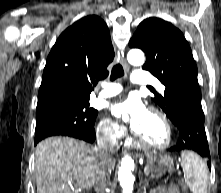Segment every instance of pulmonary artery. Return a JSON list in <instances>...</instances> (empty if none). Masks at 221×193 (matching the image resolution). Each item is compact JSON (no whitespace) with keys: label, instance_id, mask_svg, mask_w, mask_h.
<instances>
[{"label":"pulmonary artery","instance_id":"e3ab8cb5","mask_svg":"<svg viewBox=\"0 0 221 193\" xmlns=\"http://www.w3.org/2000/svg\"><path fill=\"white\" fill-rule=\"evenodd\" d=\"M131 80L133 83L139 86H155L156 88L162 90L164 87L153 75L149 74L145 70H136L134 71ZM122 87L116 83H103L102 89L99 93L101 97H111L119 92H121Z\"/></svg>","mask_w":221,"mask_h":193}]
</instances>
